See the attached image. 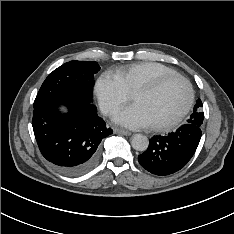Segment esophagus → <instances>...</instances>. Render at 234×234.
Returning <instances> with one entry per match:
<instances>
[{
	"label": "esophagus",
	"instance_id": "esophagus-1",
	"mask_svg": "<svg viewBox=\"0 0 234 234\" xmlns=\"http://www.w3.org/2000/svg\"><path fill=\"white\" fill-rule=\"evenodd\" d=\"M114 131L116 133H119V134H122V135H125V136H130L132 133L129 132V131H126V130H122V129H118V128H115Z\"/></svg>",
	"mask_w": 234,
	"mask_h": 234
}]
</instances>
